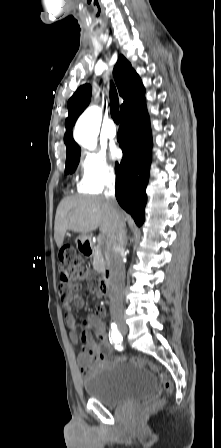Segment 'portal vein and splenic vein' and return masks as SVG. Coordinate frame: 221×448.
<instances>
[{
  "mask_svg": "<svg viewBox=\"0 0 221 448\" xmlns=\"http://www.w3.org/2000/svg\"><path fill=\"white\" fill-rule=\"evenodd\" d=\"M98 241H102V237H99V238H98Z\"/></svg>",
  "mask_w": 221,
  "mask_h": 448,
  "instance_id": "portal-vein-and-splenic-vein-1",
  "label": "portal vein and splenic vein"
}]
</instances>
